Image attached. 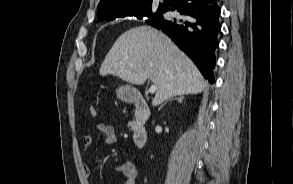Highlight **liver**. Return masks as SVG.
<instances>
[{"label":"liver","mask_w":293,"mask_h":184,"mask_svg":"<svg viewBox=\"0 0 293 184\" xmlns=\"http://www.w3.org/2000/svg\"><path fill=\"white\" fill-rule=\"evenodd\" d=\"M101 75L112 74L142 85H157L153 106L177 95L198 94L207 82L194 63L161 31L138 26L124 32L107 53Z\"/></svg>","instance_id":"liver-1"}]
</instances>
